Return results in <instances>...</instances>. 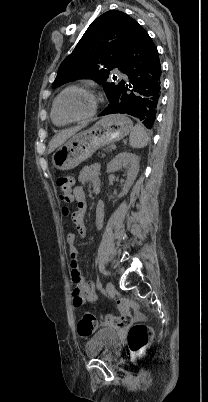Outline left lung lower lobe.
<instances>
[{
	"instance_id": "obj_1",
	"label": "left lung lower lobe",
	"mask_w": 208,
	"mask_h": 402,
	"mask_svg": "<svg viewBox=\"0 0 208 402\" xmlns=\"http://www.w3.org/2000/svg\"><path fill=\"white\" fill-rule=\"evenodd\" d=\"M122 80L109 105L100 114H128L139 118L149 129L156 119L161 96V64L155 44L138 22L132 26L123 54Z\"/></svg>"
}]
</instances>
